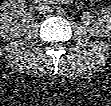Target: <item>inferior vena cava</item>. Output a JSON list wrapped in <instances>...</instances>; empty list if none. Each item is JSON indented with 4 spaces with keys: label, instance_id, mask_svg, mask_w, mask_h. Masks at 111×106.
Returning <instances> with one entry per match:
<instances>
[{
    "label": "inferior vena cava",
    "instance_id": "obj_1",
    "mask_svg": "<svg viewBox=\"0 0 111 106\" xmlns=\"http://www.w3.org/2000/svg\"><path fill=\"white\" fill-rule=\"evenodd\" d=\"M37 11L40 14H46L50 12V7L45 3H39V5L37 6Z\"/></svg>",
    "mask_w": 111,
    "mask_h": 106
}]
</instances>
